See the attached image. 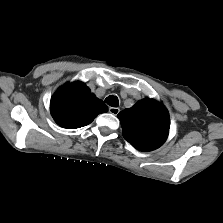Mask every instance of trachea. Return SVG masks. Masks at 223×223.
<instances>
[{"label":"trachea","instance_id":"1","mask_svg":"<svg viewBox=\"0 0 223 223\" xmlns=\"http://www.w3.org/2000/svg\"><path fill=\"white\" fill-rule=\"evenodd\" d=\"M105 102L112 107H118L119 101L116 96L110 95L105 99Z\"/></svg>","mask_w":223,"mask_h":223}]
</instances>
